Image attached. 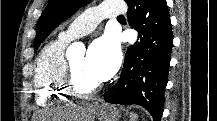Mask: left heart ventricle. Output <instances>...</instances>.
Masks as SVG:
<instances>
[{"label":"left heart ventricle","mask_w":217,"mask_h":121,"mask_svg":"<svg viewBox=\"0 0 217 121\" xmlns=\"http://www.w3.org/2000/svg\"><path fill=\"white\" fill-rule=\"evenodd\" d=\"M77 82L84 88H90L99 83L93 76L86 63V56L84 54L75 57L71 60Z\"/></svg>","instance_id":"1"}]
</instances>
